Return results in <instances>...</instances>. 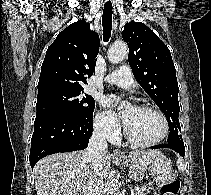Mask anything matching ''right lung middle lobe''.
Segmentation results:
<instances>
[{
  "label": "right lung middle lobe",
  "instance_id": "obj_1",
  "mask_svg": "<svg viewBox=\"0 0 211 195\" xmlns=\"http://www.w3.org/2000/svg\"><path fill=\"white\" fill-rule=\"evenodd\" d=\"M95 101L83 89L54 88L38 92L36 118L45 115H63L91 118Z\"/></svg>",
  "mask_w": 211,
  "mask_h": 195
}]
</instances>
